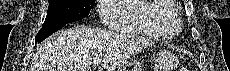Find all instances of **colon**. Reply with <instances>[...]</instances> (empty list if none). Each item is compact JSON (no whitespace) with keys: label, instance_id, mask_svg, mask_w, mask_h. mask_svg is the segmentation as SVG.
Listing matches in <instances>:
<instances>
[{"label":"colon","instance_id":"obj_1","mask_svg":"<svg viewBox=\"0 0 230 71\" xmlns=\"http://www.w3.org/2000/svg\"><path fill=\"white\" fill-rule=\"evenodd\" d=\"M181 70H182V71H186V70H187V68H186V67H183V68H181Z\"/></svg>","mask_w":230,"mask_h":71}]
</instances>
